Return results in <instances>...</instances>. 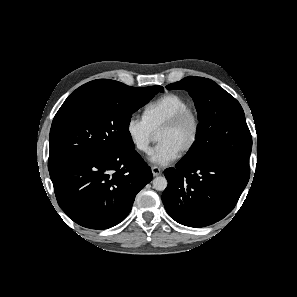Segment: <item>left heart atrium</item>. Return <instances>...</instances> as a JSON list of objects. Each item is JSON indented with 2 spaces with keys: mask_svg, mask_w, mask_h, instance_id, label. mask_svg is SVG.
<instances>
[{
  "mask_svg": "<svg viewBox=\"0 0 297 297\" xmlns=\"http://www.w3.org/2000/svg\"><path fill=\"white\" fill-rule=\"evenodd\" d=\"M180 152L166 142H160L151 151L150 161L159 166H166L175 161Z\"/></svg>",
  "mask_w": 297,
  "mask_h": 297,
  "instance_id": "39dd6f15",
  "label": "left heart atrium"
}]
</instances>
